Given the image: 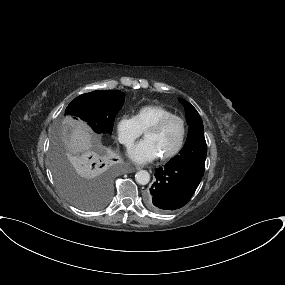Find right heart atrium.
I'll list each match as a JSON object with an SVG mask.
<instances>
[{
  "label": "right heart atrium",
  "mask_w": 285,
  "mask_h": 285,
  "mask_svg": "<svg viewBox=\"0 0 285 285\" xmlns=\"http://www.w3.org/2000/svg\"><path fill=\"white\" fill-rule=\"evenodd\" d=\"M114 128L119 142L126 148H130L142 133L138 129L134 118L129 115L120 116L116 120Z\"/></svg>",
  "instance_id": "right-heart-atrium-1"
}]
</instances>
